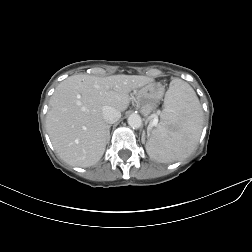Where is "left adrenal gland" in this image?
I'll return each mask as SVG.
<instances>
[{"mask_svg": "<svg viewBox=\"0 0 252 252\" xmlns=\"http://www.w3.org/2000/svg\"><path fill=\"white\" fill-rule=\"evenodd\" d=\"M142 138H143V140H145V136L144 135H142Z\"/></svg>", "mask_w": 252, "mask_h": 252, "instance_id": "left-adrenal-gland-1", "label": "left adrenal gland"}]
</instances>
